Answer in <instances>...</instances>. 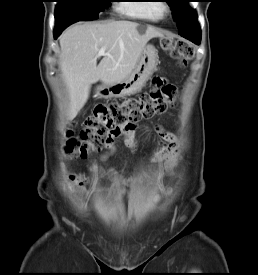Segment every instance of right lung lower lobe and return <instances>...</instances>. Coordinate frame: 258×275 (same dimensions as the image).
Wrapping results in <instances>:
<instances>
[{
  "mask_svg": "<svg viewBox=\"0 0 258 275\" xmlns=\"http://www.w3.org/2000/svg\"><path fill=\"white\" fill-rule=\"evenodd\" d=\"M77 22L76 20H62L55 21V30H54V38L56 39L60 33L69 25Z\"/></svg>",
  "mask_w": 258,
  "mask_h": 275,
  "instance_id": "obj_1",
  "label": "right lung lower lobe"
}]
</instances>
